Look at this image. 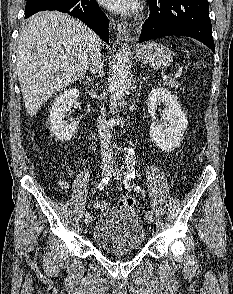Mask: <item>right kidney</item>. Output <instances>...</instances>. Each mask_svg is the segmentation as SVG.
<instances>
[{
    "label": "right kidney",
    "mask_w": 233,
    "mask_h": 294,
    "mask_svg": "<svg viewBox=\"0 0 233 294\" xmlns=\"http://www.w3.org/2000/svg\"><path fill=\"white\" fill-rule=\"evenodd\" d=\"M79 90L71 88L56 97L50 111L51 130L60 141H69L78 127L79 121L71 123L64 121L65 114L71 111V107L76 103Z\"/></svg>",
    "instance_id": "ca27d5eb"
}]
</instances>
